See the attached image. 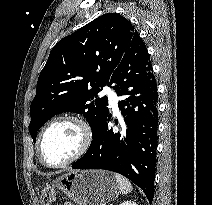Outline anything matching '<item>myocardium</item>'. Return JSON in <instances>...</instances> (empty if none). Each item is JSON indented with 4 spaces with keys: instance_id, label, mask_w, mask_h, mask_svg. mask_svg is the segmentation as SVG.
<instances>
[{
    "instance_id": "obj_1",
    "label": "myocardium",
    "mask_w": 212,
    "mask_h": 205,
    "mask_svg": "<svg viewBox=\"0 0 212 205\" xmlns=\"http://www.w3.org/2000/svg\"><path fill=\"white\" fill-rule=\"evenodd\" d=\"M60 122H70V123L75 124L78 127L80 134H81V143H80V146L77 149V151L71 157H69L68 159H66L63 162H60L57 164H51V163H48L43 157L42 143H43V139H44V136L47 133V131L52 126H54L55 124L60 123ZM92 141H93V130H92L90 123L84 117L77 115V114L60 115V116H57V117L51 119L41 129L39 136H38V140H37L38 158L42 164H44L45 166H47L49 168H62L67 165H70L71 163H73L76 160H78L79 158H81L90 148Z\"/></svg>"
}]
</instances>
